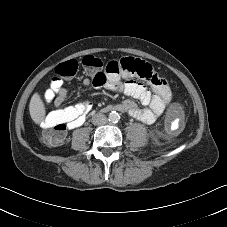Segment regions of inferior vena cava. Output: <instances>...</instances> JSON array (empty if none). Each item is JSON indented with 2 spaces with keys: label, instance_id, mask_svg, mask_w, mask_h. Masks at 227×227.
<instances>
[{
  "label": "inferior vena cava",
  "instance_id": "inferior-vena-cava-1",
  "mask_svg": "<svg viewBox=\"0 0 227 227\" xmlns=\"http://www.w3.org/2000/svg\"><path fill=\"white\" fill-rule=\"evenodd\" d=\"M107 122V118L103 113H97L92 117V123L94 125H104Z\"/></svg>",
  "mask_w": 227,
  "mask_h": 227
}]
</instances>
